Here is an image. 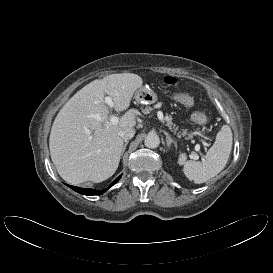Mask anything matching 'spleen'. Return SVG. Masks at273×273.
<instances>
[{
  "label": "spleen",
  "instance_id": "spleen-1",
  "mask_svg": "<svg viewBox=\"0 0 273 273\" xmlns=\"http://www.w3.org/2000/svg\"><path fill=\"white\" fill-rule=\"evenodd\" d=\"M232 131L228 125H223L216 135V140L208 150L205 160L202 162L188 160L185 153L180 154L178 158L179 165H183L185 176L189 180L200 184L220 173L226 166L231 148H232Z\"/></svg>",
  "mask_w": 273,
  "mask_h": 273
}]
</instances>
